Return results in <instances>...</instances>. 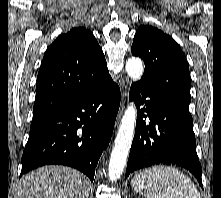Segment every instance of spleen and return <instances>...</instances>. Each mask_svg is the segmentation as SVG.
<instances>
[{
  "label": "spleen",
  "instance_id": "obj_1",
  "mask_svg": "<svg viewBox=\"0 0 221 198\" xmlns=\"http://www.w3.org/2000/svg\"><path fill=\"white\" fill-rule=\"evenodd\" d=\"M131 186L145 198H201L191 179L171 166L158 165L140 171Z\"/></svg>",
  "mask_w": 221,
  "mask_h": 198
}]
</instances>
